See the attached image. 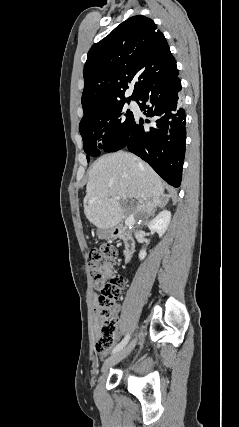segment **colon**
Returning <instances> with one entry per match:
<instances>
[{"label":"colon","mask_w":239,"mask_h":427,"mask_svg":"<svg viewBox=\"0 0 239 427\" xmlns=\"http://www.w3.org/2000/svg\"><path fill=\"white\" fill-rule=\"evenodd\" d=\"M117 251L106 244L90 253L89 269L93 286L100 292L94 305L96 350L107 352L114 343L116 330L115 302L120 297L124 280L116 273Z\"/></svg>","instance_id":"obj_1"}]
</instances>
